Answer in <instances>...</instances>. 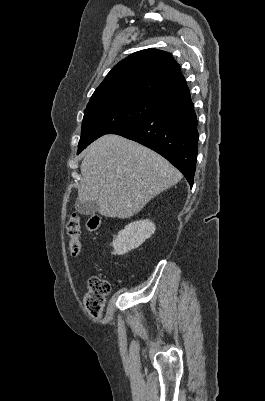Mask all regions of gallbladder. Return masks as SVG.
I'll return each mask as SVG.
<instances>
[{
    "instance_id": "1",
    "label": "gallbladder",
    "mask_w": 265,
    "mask_h": 401,
    "mask_svg": "<svg viewBox=\"0 0 265 401\" xmlns=\"http://www.w3.org/2000/svg\"><path fill=\"white\" fill-rule=\"evenodd\" d=\"M75 209L77 213H80V215H94L98 209V203L97 201H90V203H82V201H79V198H77V201L75 203Z\"/></svg>"
}]
</instances>
